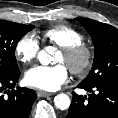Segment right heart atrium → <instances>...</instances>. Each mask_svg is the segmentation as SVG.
<instances>
[{"label": "right heart atrium", "mask_w": 118, "mask_h": 118, "mask_svg": "<svg viewBox=\"0 0 118 118\" xmlns=\"http://www.w3.org/2000/svg\"><path fill=\"white\" fill-rule=\"evenodd\" d=\"M40 51V43L32 33L23 35L16 43L14 55L16 59L24 64L33 62Z\"/></svg>", "instance_id": "d8ad5b80"}]
</instances>
